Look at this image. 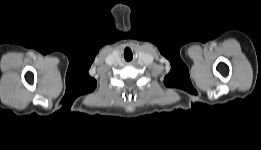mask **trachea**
Returning a JSON list of instances; mask_svg holds the SVG:
<instances>
[{
	"instance_id": "1",
	"label": "trachea",
	"mask_w": 261,
	"mask_h": 150,
	"mask_svg": "<svg viewBox=\"0 0 261 150\" xmlns=\"http://www.w3.org/2000/svg\"><path fill=\"white\" fill-rule=\"evenodd\" d=\"M124 55H125V53H124ZM125 57H126V55H125ZM132 57V54H131V52H130V58ZM127 58V57H126Z\"/></svg>"
}]
</instances>
